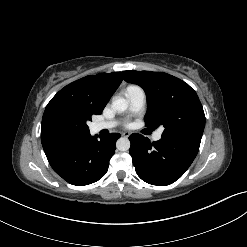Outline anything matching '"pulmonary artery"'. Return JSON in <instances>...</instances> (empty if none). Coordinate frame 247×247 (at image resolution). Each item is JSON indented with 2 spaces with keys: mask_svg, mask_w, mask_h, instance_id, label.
Listing matches in <instances>:
<instances>
[{
  "mask_svg": "<svg viewBox=\"0 0 247 247\" xmlns=\"http://www.w3.org/2000/svg\"><path fill=\"white\" fill-rule=\"evenodd\" d=\"M125 96L129 102V109L132 113H138L143 109L146 101V96L144 91L140 87L127 88L125 91ZM116 125L117 123L115 121L98 122L94 125V129L96 131L111 129ZM161 136L162 132L157 131L154 134L153 139L158 141L161 139Z\"/></svg>",
  "mask_w": 247,
  "mask_h": 247,
  "instance_id": "pulmonary-artery-1",
  "label": "pulmonary artery"
}]
</instances>
